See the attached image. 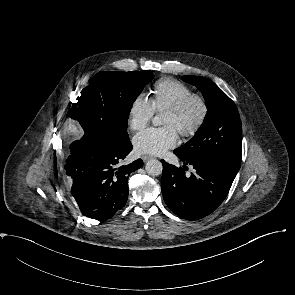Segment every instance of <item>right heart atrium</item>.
<instances>
[{
    "label": "right heart atrium",
    "mask_w": 295,
    "mask_h": 295,
    "mask_svg": "<svg viewBox=\"0 0 295 295\" xmlns=\"http://www.w3.org/2000/svg\"><path fill=\"white\" fill-rule=\"evenodd\" d=\"M150 99L143 93L136 95L128 108L127 121L131 130L140 131L150 122L154 115Z\"/></svg>",
    "instance_id": "right-heart-atrium-1"
}]
</instances>
